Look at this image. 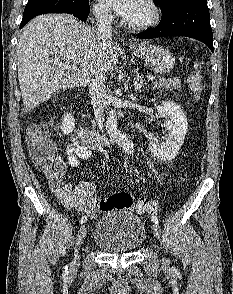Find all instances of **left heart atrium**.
Returning <instances> with one entry per match:
<instances>
[{
	"mask_svg": "<svg viewBox=\"0 0 233 294\" xmlns=\"http://www.w3.org/2000/svg\"><path fill=\"white\" fill-rule=\"evenodd\" d=\"M124 19H130L139 9L143 0H104Z\"/></svg>",
	"mask_w": 233,
	"mask_h": 294,
	"instance_id": "left-heart-atrium-1",
	"label": "left heart atrium"
}]
</instances>
